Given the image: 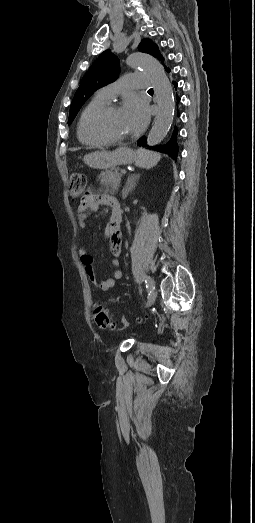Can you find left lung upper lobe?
<instances>
[{"label": "left lung upper lobe", "instance_id": "1", "mask_svg": "<svg viewBox=\"0 0 255 523\" xmlns=\"http://www.w3.org/2000/svg\"><path fill=\"white\" fill-rule=\"evenodd\" d=\"M139 50L141 52L148 53L161 61L163 58L159 52L158 46L152 42L150 39H143L139 44ZM166 71L170 70L166 68ZM119 74V60L118 58L110 51H104L92 64L88 72L82 79V82L77 89L74 98L72 100L69 112L68 125L72 123L81 106L85 101L99 88L114 82ZM178 97V96H177ZM179 116V113H178ZM172 137H177V135L172 134ZM141 139V138H140ZM146 141V140H143ZM166 145V144H165ZM161 145L160 147H165ZM178 145V144H177ZM159 147H153L157 151ZM179 151V148H178ZM169 155V153H167Z\"/></svg>", "mask_w": 255, "mask_h": 523}]
</instances>
